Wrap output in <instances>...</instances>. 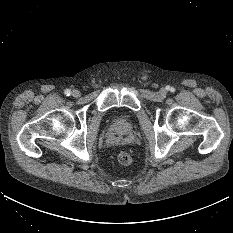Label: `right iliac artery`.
<instances>
[{"instance_id": "1", "label": "right iliac artery", "mask_w": 233, "mask_h": 233, "mask_svg": "<svg viewBox=\"0 0 233 233\" xmlns=\"http://www.w3.org/2000/svg\"><path fill=\"white\" fill-rule=\"evenodd\" d=\"M64 93L66 96H69L71 94V91L69 89H66Z\"/></svg>"}]
</instances>
